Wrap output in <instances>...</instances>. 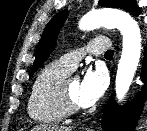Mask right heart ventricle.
<instances>
[{
    "instance_id": "right-heart-ventricle-1",
    "label": "right heart ventricle",
    "mask_w": 147,
    "mask_h": 131,
    "mask_svg": "<svg viewBox=\"0 0 147 131\" xmlns=\"http://www.w3.org/2000/svg\"><path fill=\"white\" fill-rule=\"evenodd\" d=\"M69 74L59 61L47 64L37 74L27 103V112L33 121L54 124L64 120L66 113L60 101V85Z\"/></svg>"
}]
</instances>
